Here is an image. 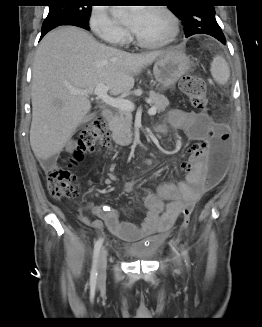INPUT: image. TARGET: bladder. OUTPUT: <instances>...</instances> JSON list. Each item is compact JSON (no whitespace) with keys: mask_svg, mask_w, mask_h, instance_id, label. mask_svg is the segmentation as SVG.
Wrapping results in <instances>:
<instances>
[{"mask_svg":"<svg viewBox=\"0 0 262 327\" xmlns=\"http://www.w3.org/2000/svg\"><path fill=\"white\" fill-rule=\"evenodd\" d=\"M165 242V235H153L124 246L123 253L130 262H150L154 260Z\"/></svg>","mask_w":262,"mask_h":327,"instance_id":"31cf9c89","label":"bladder"}]
</instances>
